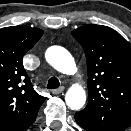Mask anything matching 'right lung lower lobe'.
<instances>
[{
  "instance_id": "98d812e1",
  "label": "right lung lower lobe",
  "mask_w": 131,
  "mask_h": 131,
  "mask_svg": "<svg viewBox=\"0 0 131 131\" xmlns=\"http://www.w3.org/2000/svg\"><path fill=\"white\" fill-rule=\"evenodd\" d=\"M35 119H36V116L23 122L19 126L11 127V128L7 127L5 130L0 129V131H26L29 128V126L35 121Z\"/></svg>"
}]
</instances>
